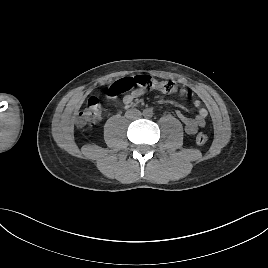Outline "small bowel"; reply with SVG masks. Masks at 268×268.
<instances>
[{
	"label": "small bowel",
	"mask_w": 268,
	"mask_h": 268,
	"mask_svg": "<svg viewBox=\"0 0 268 268\" xmlns=\"http://www.w3.org/2000/svg\"><path fill=\"white\" fill-rule=\"evenodd\" d=\"M145 92V89L135 88L123 97L122 102L128 107L135 99L143 96ZM194 106L198 109L195 117H188L181 112L177 113L179 120L184 124L185 132L189 135L195 134L200 128H203L206 125V118L208 116V110L201 107L199 100H194Z\"/></svg>",
	"instance_id": "c3829d8e"
}]
</instances>
